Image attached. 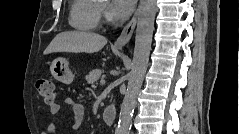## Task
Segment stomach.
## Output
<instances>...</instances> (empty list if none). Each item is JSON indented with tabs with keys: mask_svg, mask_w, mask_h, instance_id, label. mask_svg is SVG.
Instances as JSON below:
<instances>
[{
	"mask_svg": "<svg viewBox=\"0 0 239 134\" xmlns=\"http://www.w3.org/2000/svg\"><path fill=\"white\" fill-rule=\"evenodd\" d=\"M50 72L56 80L65 84L71 83L74 79L68 61L62 57L56 58L51 62Z\"/></svg>",
	"mask_w": 239,
	"mask_h": 134,
	"instance_id": "0dacf381",
	"label": "stomach"
}]
</instances>
